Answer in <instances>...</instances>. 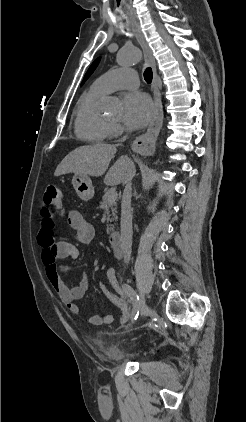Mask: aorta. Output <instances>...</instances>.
Here are the masks:
<instances>
[{"instance_id":"obj_1","label":"aorta","mask_w":246,"mask_h":422,"mask_svg":"<svg viewBox=\"0 0 246 422\" xmlns=\"http://www.w3.org/2000/svg\"><path fill=\"white\" fill-rule=\"evenodd\" d=\"M141 60L140 49L136 46L124 47L119 50L117 54V62L122 65H131L136 64ZM118 110L117 106L114 104H109L106 106V111L110 113H116Z\"/></svg>"}]
</instances>
